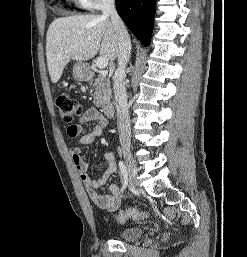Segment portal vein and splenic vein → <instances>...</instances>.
<instances>
[{
  "instance_id": "obj_1",
  "label": "portal vein and splenic vein",
  "mask_w": 247,
  "mask_h": 257,
  "mask_svg": "<svg viewBox=\"0 0 247 257\" xmlns=\"http://www.w3.org/2000/svg\"><path fill=\"white\" fill-rule=\"evenodd\" d=\"M96 66L99 69H105L108 66V59L106 57H98L96 60Z\"/></svg>"
}]
</instances>
